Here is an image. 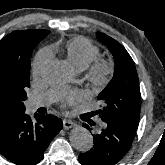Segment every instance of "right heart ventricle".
Returning <instances> with one entry per match:
<instances>
[{"label":"right heart ventricle","mask_w":165,"mask_h":165,"mask_svg":"<svg viewBox=\"0 0 165 165\" xmlns=\"http://www.w3.org/2000/svg\"><path fill=\"white\" fill-rule=\"evenodd\" d=\"M67 62L78 70L86 69L99 56V48L88 39L76 36L60 44Z\"/></svg>","instance_id":"right-heart-ventricle-1"}]
</instances>
